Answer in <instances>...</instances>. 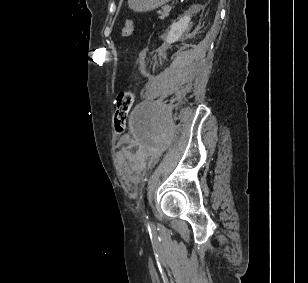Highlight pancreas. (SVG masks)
<instances>
[{
    "mask_svg": "<svg viewBox=\"0 0 308 283\" xmlns=\"http://www.w3.org/2000/svg\"><path fill=\"white\" fill-rule=\"evenodd\" d=\"M169 11H170L169 8H165L164 10L160 11V12H159L160 15H161L160 18H161V19H165L166 17H168Z\"/></svg>",
    "mask_w": 308,
    "mask_h": 283,
    "instance_id": "cf45deb5",
    "label": "pancreas"
}]
</instances>
